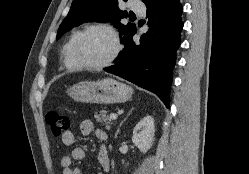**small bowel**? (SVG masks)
<instances>
[{
    "label": "small bowel",
    "mask_w": 249,
    "mask_h": 174,
    "mask_svg": "<svg viewBox=\"0 0 249 174\" xmlns=\"http://www.w3.org/2000/svg\"><path fill=\"white\" fill-rule=\"evenodd\" d=\"M80 131L83 135L88 136L91 133H95L97 139L100 143H103L106 140V134L102 130L94 131V124L91 120H83L80 124ZM62 143L65 146H73L76 143V138L71 131L66 132L61 137ZM87 155V152L82 147H75L70 155H64L60 159V165L62 167V174H82L79 168H73V160H83ZM98 163L102 169V173H108L110 170V158L106 148L101 145L98 152ZM99 173V174H102Z\"/></svg>",
    "instance_id": "1"
}]
</instances>
